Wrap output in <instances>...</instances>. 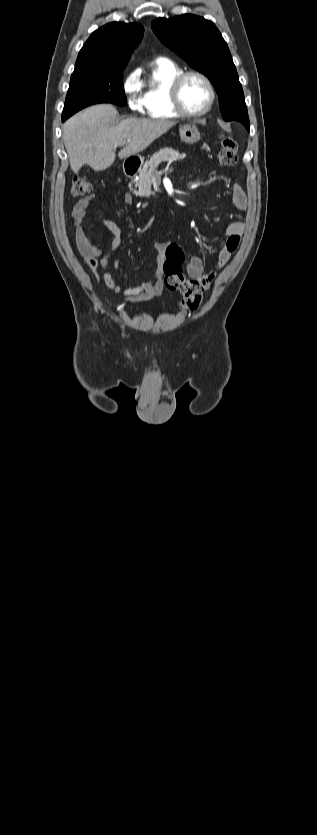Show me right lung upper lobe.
<instances>
[{"mask_svg":"<svg viewBox=\"0 0 317 835\" xmlns=\"http://www.w3.org/2000/svg\"><path fill=\"white\" fill-rule=\"evenodd\" d=\"M143 32L137 23L114 22L97 29L80 50L75 70H124Z\"/></svg>","mask_w":317,"mask_h":835,"instance_id":"1","label":"right lung upper lobe"}]
</instances>
